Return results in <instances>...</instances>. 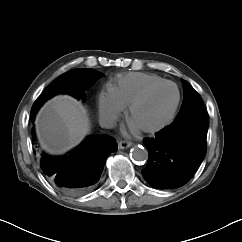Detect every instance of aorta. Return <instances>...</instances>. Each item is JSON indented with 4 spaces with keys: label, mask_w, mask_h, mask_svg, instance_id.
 I'll return each instance as SVG.
<instances>
[{
    "label": "aorta",
    "mask_w": 242,
    "mask_h": 242,
    "mask_svg": "<svg viewBox=\"0 0 242 242\" xmlns=\"http://www.w3.org/2000/svg\"><path fill=\"white\" fill-rule=\"evenodd\" d=\"M130 155L131 158L137 162H144L148 158L147 150L141 145L134 146L131 149Z\"/></svg>",
    "instance_id": "1"
}]
</instances>
